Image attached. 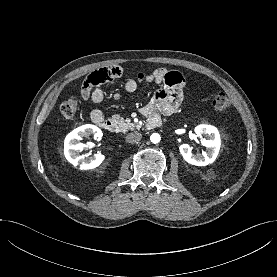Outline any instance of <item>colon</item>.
<instances>
[{
  "label": "colon",
  "mask_w": 277,
  "mask_h": 277,
  "mask_svg": "<svg viewBox=\"0 0 277 277\" xmlns=\"http://www.w3.org/2000/svg\"><path fill=\"white\" fill-rule=\"evenodd\" d=\"M229 100L227 96L222 93H216L212 98V106L214 110L220 114L225 113L229 108ZM79 108V100L75 97L64 101L60 106L61 114L65 118H73Z\"/></svg>",
  "instance_id": "5ec220e1"
}]
</instances>
